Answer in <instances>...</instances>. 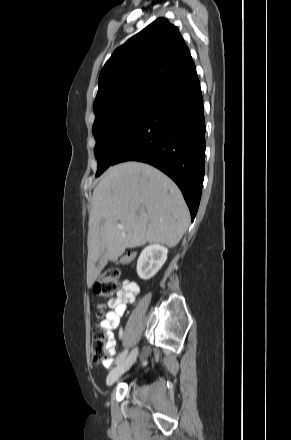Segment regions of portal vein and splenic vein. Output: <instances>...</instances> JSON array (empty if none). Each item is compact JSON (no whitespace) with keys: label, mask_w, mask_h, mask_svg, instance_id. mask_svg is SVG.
Wrapping results in <instances>:
<instances>
[{"label":"portal vein and splenic vein","mask_w":291,"mask_h":440,"mask_svg":"<svg viewBox=\"0 0 291 440\" xmlns=\"http://www.w3.org/2000/svg\"><path fill=\"white\" fill-rule=\"evenodd\" d=\"M118 228H119V229H123V225L119 224V225H118Z\"/></svg>","instance_id":"obj_1"}]
</instances>
